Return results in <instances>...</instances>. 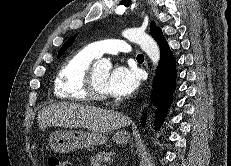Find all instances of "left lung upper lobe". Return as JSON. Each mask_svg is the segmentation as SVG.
<instances>
[{
  "label": "left lung upper lobe",
  "instance_id": "5c2ea615",
  "mask_svg": "<svg viewBox=\"0 0 231 166\" xmlns=\"http://www.w3.org/2000/svg\"><path fill=\"white\" fill-rule=\"evenodd\" d=\"M160 32H161V29L159 27H156L155 23L152 22L151 27H150V33H151L152 37L155 38ZM74 41H75V38L70 37L64 43V45L61 47V49L58 52V58H60L62 56V54L68 49L69 46H71L73 44Z\"/></svg>",
  "mask_w": 231,
  "mask_h": 166
}]
</instances>
